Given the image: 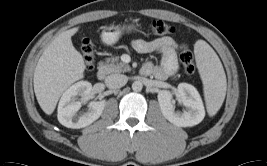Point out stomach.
<instances>
[{"instance_id": "1", "label": "stomach", "mask_w": 267, "mask_h": 166, "mask_svg": "<svg viewBox=\"0 0 267 166\" xmlns=\"http://www.w3.org/2000/svg\"><path fill=\"white\" fill-rule=\"evenodd\" d=\"M136 27L137 26L134 24H110L103 30L101 40L105 45H113L119 41L124 32H131L135 30Z\"/></svg>"}]
</instances>
